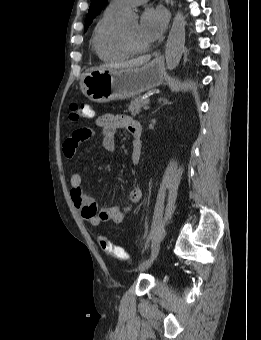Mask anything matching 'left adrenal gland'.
<instances>
[{
    "instance_id": "1",
    "label": "left adrenal gland",
    "mask_w": 261,
    "mask_h": 340,
    "mask_svg": "<svg viewBox=\"0 0 261 340\" xmlns=\"http://www.w3.org/2000/svg\"><path fill=\"white\" fill-rule=\"evenodd\" d=\"M158 101H159V103L162 104L161 106L172 104V102L169 101L167 98H159ZM158 109H160V107Z\"/></svg>"
}]
</instances>
